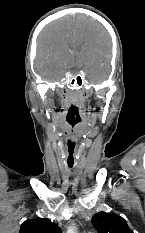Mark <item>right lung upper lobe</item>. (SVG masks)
<instances>
[{"mask_svg": "<svg viewBox=\"0 0 145 233\" xmlns=\"http://www.w3.org/2000/svg\"><path fill=\"white\" fill-rule=\"evenodd\" d=\"M19 233H62V231L49 219L36 218L22 223Z\"/></svg>", "mask_w": 145, "mask_h": 233, "instance_id": "obj_1", "label": "right lung upper lobe"}]
</instances>
